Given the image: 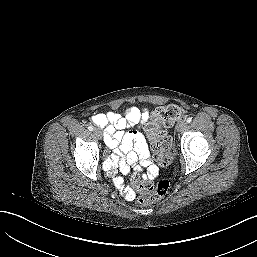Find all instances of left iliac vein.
Masks as SVG:
<instances>
[{
    "label": "left iliac vein",
    "instance_id": "obj_1",
    "mask_svg": "<svg viewBox=\"0 0 257 257\" xmlns=\"http://www.w3.org/2000/svg\"><path fill=\"white\" fill-rule=\"evenodd\" d=\"M176 128H177L178 132L184 131L187 128L186 121H184V120L180 121Z\"/></svg>",
    "mask_w": 257,
    "mask_h": 257
}]
</instances>
